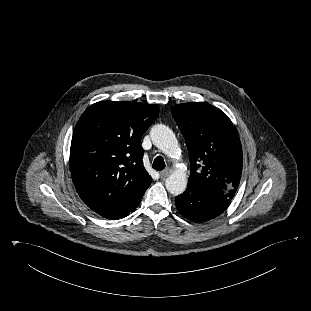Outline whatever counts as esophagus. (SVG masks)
<instances>
[{
    "instance_id": "esophagus-1",
    "label": "esophagus",
    "mask_w": 311,
    "mask_h": 311,
    "mask_svg": "<svg viewBox=\"0 0 311 311\" xmlns=\"http://www.w3.org/2000/svg\"><path fill=\"white\" fill-rule=\"evenodd\" d=\"M171 173V170L169 168H166L165 170L160 172L161 178H166Z\"/></svg>"
}]
</instances>
